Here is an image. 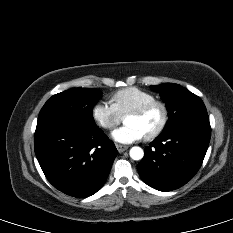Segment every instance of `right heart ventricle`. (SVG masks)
Listing matches in <instances>:
<instances>
[{
  "instance_id": "e07e8e85",
  "label": "right heart ventricle",
  "mask_w": 233,
  "mask_h": 233,
  "mask_svg": "<svg viewBox=\"0 0 233 233\" xmlns=\"http://www.w3.org/2000/svg\"><path fill=\"white\" fill-rule=\"evenodd\" d=\"M155 99L154 94L138 87H126L111 96V103L123 117L129 111Z\"/></svg>"
}]
</instances>
